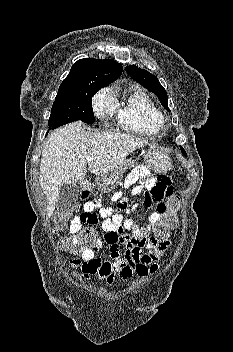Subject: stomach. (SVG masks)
Wrapping results in <instances>:
<instances>
[{
    "instance_id": "0dacf381",
    "label": "stomach",
    "mask_w": 233,
    "mask_h": 352,
    "mask_svg": "<svg viewBox=\"0 0 233 352\" xmlns=\"http://www.w3.org/2000/svg\"><path fill=\"white\" fill-rule=\"evenodd\" d=\"M144 159L146 161L147 167L155 172L162 173L168 171L171 168L170 157L158 149H150L145 154ZM134 163L135 162L133 160H125L113 171L101 175L96 181L97 188L104 193L115 189L119 185L124 171L134 167Z\"/></svg>"
}]
</instances>
